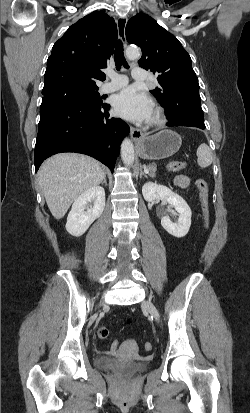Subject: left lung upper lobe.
I'll list each match as a JSON object with an SVG mask.
<instances>
[{
    "instance_id": "obj_1",
    "label": "left lung upper lobe",
    "mask_w": 250,
    "mask_h": 413,
    "mask_svg": "<svg viewBox=\"0 0 250 413\" xmlns=\"http://www.w3.org/2000/svg\"><path fill=\"white\" fill-rule=\"evenodd\" d=\"M126 38L142 50L139 66L158 76L159 86L151 92L163 107L174 102L175 96L199 93L189 54L177 38L153 18L146 14L132 17L126 26Z\"/></svg>"
}]
</instances>
